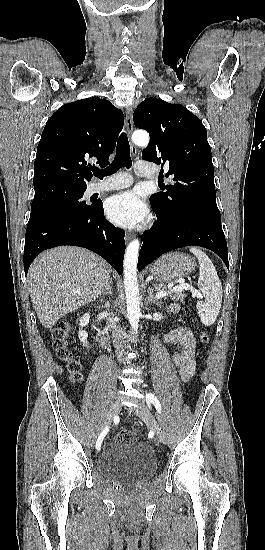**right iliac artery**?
Instances as JSON below:
<instances>
[{"instance_id": "82829eb1", "label": "right iliac artery", "mask_w": 265, "mask_h": 550, "mask_svg": "<svg viewBox=\"0 0 265 550\" xmlns=\"http://www.w3.org/2000/svg\"><path fill=\"white\" fill-rule=\"evenodd\" d=\"M109 431V428L106 427L102 433L100 434V436L98 437L97 441H96V449L99 450L101 448V444H102V441L104 439V437L106 436V434L108 433Z\"/></svg>"}]
</instances>
